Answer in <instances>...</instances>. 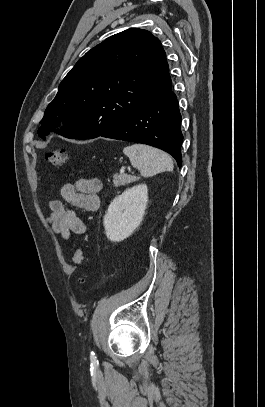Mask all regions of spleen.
Segmentation results:
<instances>
[{
    "mask_svg": "<svg viewBox=\"0 0 265 407\" xmlns=\"http://www.w3.org/2000/svg\"><path fill=\"white\" fill-rule=\"evenodd\" d=\"M131 165L140 170L141 175L150 177L165 171H173V161L164 151L144 144H133L123 149Z\"/></svg>",
    "mask_w": 265,
    "mask_h": 407,
    "instance_id": "spleen-1",
    "label": "spleen"
}]
</instances>
